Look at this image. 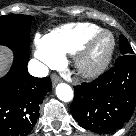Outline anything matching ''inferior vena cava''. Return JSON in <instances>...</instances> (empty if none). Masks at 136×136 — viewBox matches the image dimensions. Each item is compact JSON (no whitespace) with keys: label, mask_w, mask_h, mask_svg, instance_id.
Instances as JSON below:
<instances>
[{"label":"inferior vena cava","mask_w":136,"mask_h":136,"mask_svg":"<svg viewBox=\"0 0 136 136\" xmlns=\"http://www.w3.org/2000/svg\"><path fill=\"white\" fill-rule=\"evenodd\" d=\"M28 71L35 77H46L49 73L48 67L35 59L29 62Z\"/></svg>","instance_id":"1"}]
</instances>
